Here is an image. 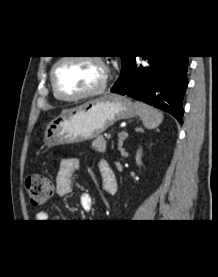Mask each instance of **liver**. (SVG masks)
I'll return each mask as SVG.
<instances>
[{
  "mask_svg": "<svg viewBox=\"0 0 218 277\" xmlns=\"http://www.w3.org/2000/svg\"><path fill=\"white\" fill-rule=\"evenodd\" d=\"M73 110H75V109L63 110L62 113H61V115H65V114H67V113H70V112H72Z\"/></svg>",
  "mask_w": 218,
  "mask_h": 277,
  "instance_id": "6515ba94",
  "label": "liver"
}]
</instances>
